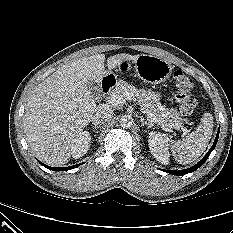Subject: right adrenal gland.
I'll list each match as a JSON object with an SVG mask.
<instances>
[{"instance_id":"right-adrenal-gland-1","label":"right adrenal gland","mask_w":233,"mask_h":233,"mask_svg":"<svg viewBox=\"0 0 233 233\" xmlns=\"http://www.w3.org/2000/svg\"><path fill=\"white\" fill-rule=\"evenodd\" d=\"M93 128H101V126L94 125Z\"/></svg>"}]
</instances>
